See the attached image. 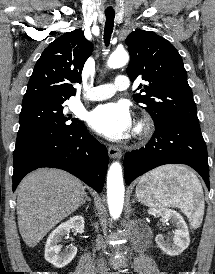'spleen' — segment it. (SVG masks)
Wrapping results in <instances>:
<instances>
[{
	"label": "spleen",
	"mask_w": 215,
	"mask_h": 274,
	"mask_svg": "<svg viewBox=\"0 0 215 274\" xmlns=\"http://www.w3.org/2000/svg\"><path fill=\"white\" fill-rule=\"evenodd\" d=\"M136 194L154 207H177L191 220L204 212V195L197 176L183 166H163L141 177Z\"/></svg>",
	"instance_id": "1"
}]
</instances>
